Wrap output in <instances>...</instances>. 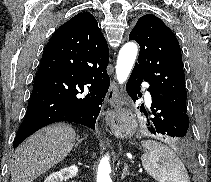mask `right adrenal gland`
Wrapping results in <instances>:
<instances>
[{"label":"right adrenal gland","mask_w":211,"mask_h":182,"mask_svg":"<svg viewBox=\"0 0 211 182\" xmlns=\"http://www.w3.org/2000/svg\"><path fill=\"white\" fill-rule=\"evenodd\" d=\"M83 140H84L83 138H82V139H77V143L75 144V147H78L79 144H80Z\"/></svg>","instance_id":"right-adrenal-gland-1"}]
</instances>
